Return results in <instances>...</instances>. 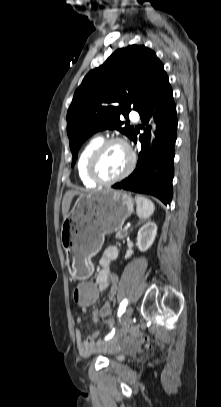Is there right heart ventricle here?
Segmentation results:
<instances>
[{
	"mask_svg": "<svg viewBox=\"0 0 221 407\" xmlns=\"http://www.w3.org/2000/svg\"><path fill=\"white\" fill-rule=\"evenodd\" d=\"M103 141L101 137H95L85 144L82 148L76 164L77 175L81 183L86 187H95L97 184L94 183L86 173L87 160L92 153V151Z\"/></svg>",
	"mask_w": 221,
	"mask_h": 407,
	"instance_id": "obj_1",
	"label": "right heart ventricle"
}]
</instances>
